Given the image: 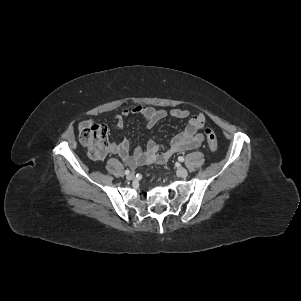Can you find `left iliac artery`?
I'll use <instances>...</instances> for the list:
<instances>
[{"label":"left iliac artery","instance_id":"obj_1","mask_svg":"<svg viewBox=\"0 0 301 301\" xmlns=\"http://www.w3.org/2000/svg\"><path fill=\"white\" fill-rule=\"evenodd\" d=\"M178 160H179L180 162H184V157L179 156V157H178Z\"/></svg>","mask_w":301,"mask_h":301}]
</instances>
